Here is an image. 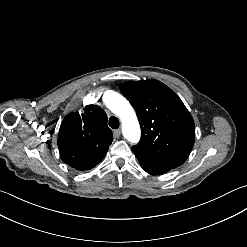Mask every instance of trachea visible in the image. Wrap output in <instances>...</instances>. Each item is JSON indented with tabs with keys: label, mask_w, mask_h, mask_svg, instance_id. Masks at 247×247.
Listing matches in <instances>:
<instances>
[{
	"label": "trachea",
	"mask_w": 247,
	"mask_h": 247,
	"mask_svg": "<svg viewBox=\"0 0 247 247\" xmlns=\"http://www.w3.org/2000/svg\"><path fill=\"white\" fill-rule=\"evenodd\" d=\"M109 126L113 129H117L119 127V120L117 117L112 116L109 120Z\"/></svg>",
	"instance_id": "3493384b"
}]
</instances>
